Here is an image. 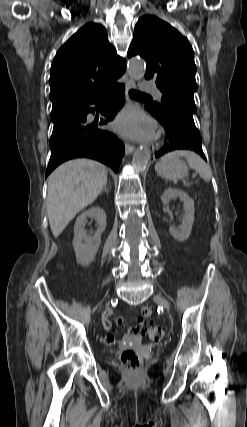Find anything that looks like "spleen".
Masks as SVG:
<instances>
[{"label":"spleen","mask_w":247,"mask_h":427,"mask_svg":"<svg viewBox=\"0 0 247 427\" xmlns=\"http://www.w3.org/2000/svg\"><path fill=\"white\" fill-rule=\"evenodd\" d=\"M180 156H184L188 162V165L191 168H193L196 172H198L200 177L204 179L206 182H208L211 179L212 171L210 166L206 164L199 155H197L192 151L176 150L174 152H170L161 158V162L159 164H164ZM159 164H157L156 167Z\"/></svg>","instance_id":"1"}]
</instances>
